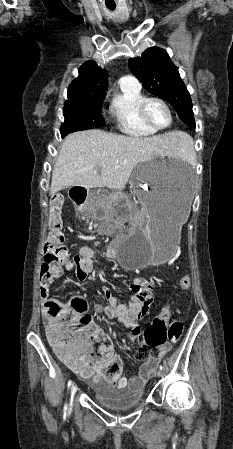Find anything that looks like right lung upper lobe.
Segmentation results:
<instances>
[{"instance_id": "cb5924a9", "label": "right lung upper lobe", "mask_w": 233, "mask_h": 449, "mask_svg": "<svg viewBox=\"0 0 233 449\" xmlns=\"http://www.w3.org/2000/svg\"><path fill=\"white\" fill-rule=\"evenodd\" d=\"M108 88L107 73L96 63L88 61L79 68V77L68 87V97L106 94Z\"/></svg>"}]
</instances>
